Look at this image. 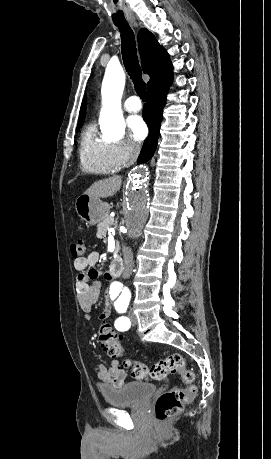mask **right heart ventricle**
Masks as SVG:
<instances>
[{"label": "right heart ventricle", "mask_w": 271, "mask_h": 459, "mask_svg": "<svg viewBox=\"0 0 271 459\" xmlns=\"http://www.w3.org/2000/svg\"><path fill=\"white\" fill-rule=\"evenodd\" d=\"M79 157L81 169L86 173L109 174L120 167L113 157L112 143L97 136L93 123L81 134Z\"/></svg>", "instance_id": "obj_1"}]
</instances>
